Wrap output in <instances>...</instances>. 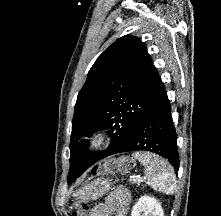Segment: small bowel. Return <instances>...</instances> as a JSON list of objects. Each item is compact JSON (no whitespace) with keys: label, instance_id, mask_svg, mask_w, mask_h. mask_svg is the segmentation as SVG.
I'll use <instances>...</instances> for the list:
<instances>
[{"label":"small bowel","instance_id":"obj_1","mask_svg":"<svg viewBox=\"0 0 221 216\" xmlns=\"http://www.w3.org/2000/svg\"><path fill=\"white\" fill-rule=\"evenodd\" d=\"M130 196L125 189L112 192L106 200L94 207L89 216H126Z\"/></svg>","mask_w":221,"mask_h":216}]
</instances>
